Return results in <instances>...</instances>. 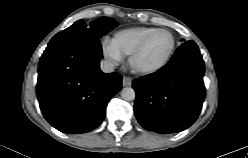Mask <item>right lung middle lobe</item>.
<instances>
[{
	"mask_svg": "<svg viewBox=\"0 0 248 158\" xmlns=\"http://www.w3.org/2000/svg\"><path fill=\"white\" fill-rule=\"evenodd\" d=\"M117 26L118 23L114 19L108 17H101L91 22L90 26H87L83 20H78L55 36H87L100 38Z\"/></svg>",
	"mask_w": 248,
	"mask_h": 158,
	"instance_id": "dd1d6c3e",
	"label": "right lung middle lobe"
}]
</instances>
